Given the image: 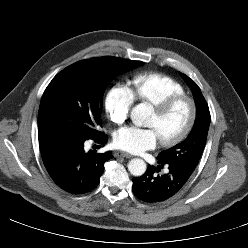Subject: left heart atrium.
I'll use <instances>...</instances> for the list:
<instances>
[{"instance_id": "39dd6f15", "label": "left heart atrium", "mask_w": 248, "mask_h": 248, "mask_svg": "<svg viewBox=\"0 0 248 248\" xmlns=\"http://www.w3.org/2000/svg\"><path fill=\"white\" fill-rule=\"evenodd\" d=\"M158 142L159 138L153 128L126 126L118 130L114 136L115 146L130 153L153 149Z\"/></svg>"}]
</instances>
